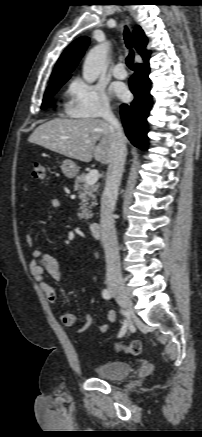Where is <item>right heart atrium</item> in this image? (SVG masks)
<instances>
[{"label":"right heart atrium","instance_id":"1","mask_svg":"<svg viewBox=\"0 0 202 437\" xmlns=\"http://www.w3.org/2000/svg\"><path fill=\"white\" fill-rule=\"evenodd\" d=\"M66 113L76 118L106 117L111 113L109 95L100 85L75 79L69 86Z\"/></svg>","mask_w":202,"mask_h":437}]
</instances>
